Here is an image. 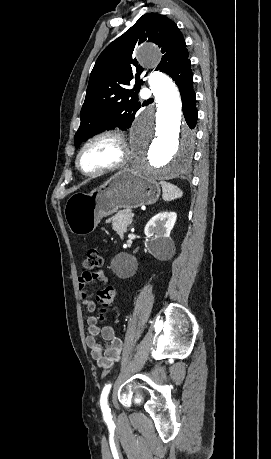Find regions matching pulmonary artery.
I'll use <instances>...</instances> for the list:
<instances>
[{
  "label": "pulmonary artery",
  "mask_w": 271,
  "mask_h": 459,
  "mask_svg": "<svg viewBox=\"0 0 271 459\" xmlns=\"http://www.w3.org/2000/svg\"><path fill=\"white\" fill-rule=\"evenodd\" d=\"M141 96L143 97L142 98V101L143 102H146L147 101V98H149L151 96V91L149 89H143L141 91Z\"/></svg>",
  "instance_id": "obj_1"
}]
</instances>
